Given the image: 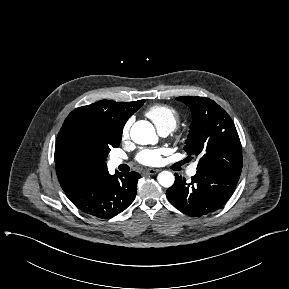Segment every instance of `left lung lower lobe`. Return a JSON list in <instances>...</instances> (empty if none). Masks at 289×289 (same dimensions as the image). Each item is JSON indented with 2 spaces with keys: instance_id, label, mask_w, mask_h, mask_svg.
<instances>
[{
  "instance_id": "left-lung-lower-lobe-1",
  "label": "left lung lower lobe",
  "mask_w": 289,
  "mask_h": 289,
  "mask_svg": "<svg viewBox=\"0 0 289 289\" xmlns=\"http://www.w3.org/2000/svg\"><path fill=\"white\" fill-rule=\"evenodd\" d=\"M237 182L219 172L198 170L190 183L176 175L166 196L181 212L198 217L222 207L233 194Z\"/></svg>"
}]
</instances>
